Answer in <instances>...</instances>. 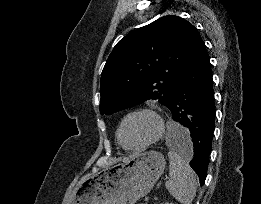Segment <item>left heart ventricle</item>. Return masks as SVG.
<instances>
[{
    "label": "left heart ventricle",
    "instance_id": "b2bd125f",
    "mask_svg": "<svg viewBox=\"0 0 261 204\" xmlns=\"http://www.w3.org/2000/svg\"><path fill=\"white\" fill-rule=\"evenodd\" d=\"M155 132L154 121L145 115L129 119L121 133L123 142L128 146L139 145L148 140Z\"/></svg>",
    "mask_w": 261,
    "mask_h": 204
}]
</instances>
